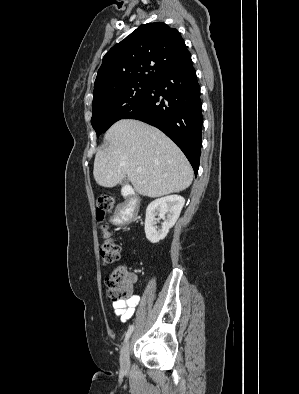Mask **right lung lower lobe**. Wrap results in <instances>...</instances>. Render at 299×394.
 Instances as JSON below:
<instances>
[{"label":"right lung lower lobe","instance_id":"obj_1","mask_svg":"<svg viewBox=\"0 0 299 394\" xmlns=\"http://www.w3.org/2000/svg\"><path fill=\"white\" fill-rule=\"evenodd\" d=\"M200 87L190 53L153 80L142 100L123 119L153 125L170 137L199 168L202 143Z\"/></svg>","mask_w":299,"mask_h":394}]
</instances>
